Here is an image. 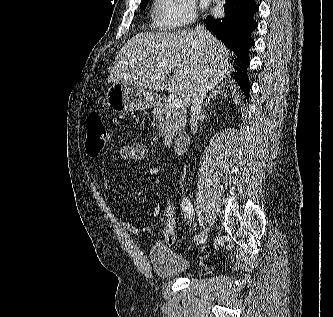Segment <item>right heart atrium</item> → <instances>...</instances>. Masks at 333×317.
I'll use <instances>...</instances> for the list:
<instances>
[{
  "instance_id": "d8ad5b80",
  "label": "right heart atrium",
  "mask_w": 333,
  "mask_h": 317,
  "mask_svg": "<svg viewBox=\"0 0 333 317\" xmlns=\"http://www.w3.org/2000/svg\"><path fill=\"white\" fill-rule=\"evenodd\" d=\"M154 20L161 30H177L196 19L193 0H154Z\"/></svg>"
}]
</instances>
